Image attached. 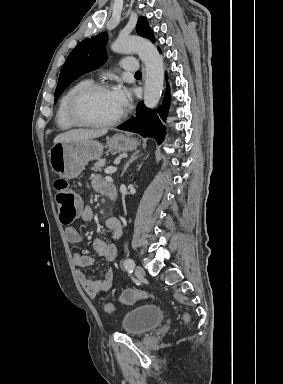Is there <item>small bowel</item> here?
<instances>
[{
  "mask_svg": "<svg viewBox=\"0 0 283 384\" xmlns=\"http://www.w3.org/2000/svg\"><path fill=\"white\" fill-rule=\"evenodd\" d=\"M108 183L101 176H94L90 182V186L97 192L105 194V188ZM80 218L83 223H87L93 218V211L90 206H84L80 209ZM106 228L111 231L113 239L118 240L123 232L122 224L118 218L111 217L105 222ZM65 235L69 243L77 244L81 242L80 231L74 226H68L65 229ZM117 257V247L114 243L105 239L97 238L92 243L91 253L73 255V263L79 268H86L98 259L102 258L107 262H113ZM78 279L84 291L91 297L95 298L102 292L109 290L113 284V271L109 269L103 279L95 280L86 276L81 270L78 271Z\"/></svg>",
  "mask_w": 283,
  "mask_h": 384,
  "instance_id": "1",
  "label": "small bowel"
}]
</instances>
